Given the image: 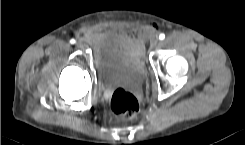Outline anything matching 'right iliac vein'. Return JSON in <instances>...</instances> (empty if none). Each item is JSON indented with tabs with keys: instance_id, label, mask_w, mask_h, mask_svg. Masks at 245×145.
I'll use <instances>...</instances> for the list:
<instances>
[{
	"instance_id": "1",
	"label": "right iliac vein",
	"mask_w": 245,
	"mask_h": 145,
	"mask_svg": "<svg viewBox=\"0 0 245 145\" xmlns=\"http://www.w3.org/2000/svg\"><path fill=\"white\" fill-rule=\"evenodd\" d=\"M75 45H76L77 48H83V47H84V44H83L82 41H77V42L75 43Z\"/></svg>"
}]
</instances>
